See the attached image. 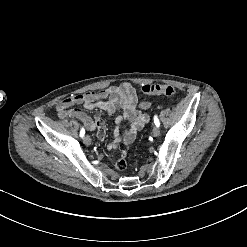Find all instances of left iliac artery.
Instances as JSON below:
<instances>
[{"mask_svg": "<svg viewBox=\"0 0 247 247\" xmlns=\"http://www.w3.org/2000/svg\"><path fill=\"white\" fill-rule=\"evenodd\" d=\"M154 123H155V125H156L157 127L160 126L159 119H158V117H157L156 115L154 116Z\"/></svg>", "mask_w": 247, "mask_h": 247, "instance_id": "obj_1", "label": "left iliac artery"}]
</instances>
